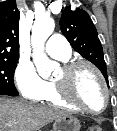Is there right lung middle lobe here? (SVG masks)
I'll use <instances>...</instances> for the list:
<instances>
[{
	"mask_svg": "<svg viewBox=\"0 0 117 131\" xmlns=\"http://www.w3.org/2000/svg\"><path fill=\"white\" fill-rule=\"evenodd\" d=\"M19 58L0 57V95H18L13 75Z\"/></svg>",
	"mask_w": 117,
	"mask_h": 131,
	"instance_id": "right-lung-middle-lobe-1",
	"label": "right lung middle lobe"
}]
</instances>
